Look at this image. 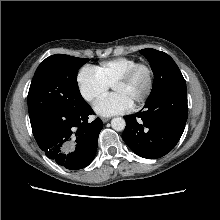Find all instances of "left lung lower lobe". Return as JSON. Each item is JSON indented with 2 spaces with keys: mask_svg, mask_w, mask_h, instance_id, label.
Listing matches in <instances>:
<instances>
[{
  "mask_svg": "<svg viewBox=\"0 0 220 220\" xmlns=\"http://www.w3.org/2000/svg\"><path fill=\"white\" fill-rule=\"evenodd\" d=\"M187 117V89L174 88L148 100L138 113L124 116L122 138L138 156L160 158L178 143Z\"/></svg>",
  "mask_w": 220,
  "mask_h": 220,
  "instance_id": "left-lung-lower-lobe-1",
  "label": "left lung lower lobe"
}]
</instances>
